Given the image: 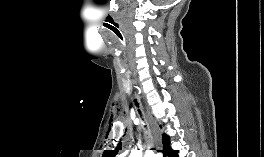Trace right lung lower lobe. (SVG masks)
<instances>
[{
    "instance_id": "right-lung-lower-lobe-1",
    "label": "right lung lower lobe",
    "mask_w": 264,
    "mask_h": 157,
    "mask_svg": "<svg viewBox=\"0 0 264 157\" xmlns=\"http://www.w3.org/2000/svg\"><path fill=\"white\" fill-rule=\"evenodd\" d=\"M164 157H178V151L172 150L169 145L162 150Z\"/></svg>"
}]
</instances>
